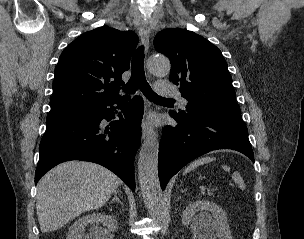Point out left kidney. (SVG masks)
Masks as SVG:
<instances>
[{
  "instance_id": "5707ae66",
  "label": "left kidney",
  "mask_w": 304,
  "mask_h": 239,
  "mask_svg": "<svg viewBox=\"0 0 304 239\" xmlns=\"http://www.w3.org/2000/svg\"><path fill=\"white\" fill-rule=\"evenodd\" d=\"M210 212V213H208ZM182 223L198 235V239H232L226 212L214 202H191L183 211ZM216 231L215 236L212 232Z\"/></svg>"
}]
</instances>
